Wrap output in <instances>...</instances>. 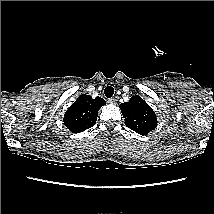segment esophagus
Masks as SVG:
<instances>
[{
  "label": "esophagus",
  "mask_w": 214,
  "mask_h": 214,
  "mask_svg": "<svg viewBox=\"0 0 214 214\" xmlns=\"http://www.w3.org/2000/svg\"><path fill=\"white\" fill-rule=\"evenodd\" d=\"M108 103H110V104H116L117 103V99L116 98H109L108 99Z\"/></svg>",
  "instance_id": "34e87169"
}]
</instances>
